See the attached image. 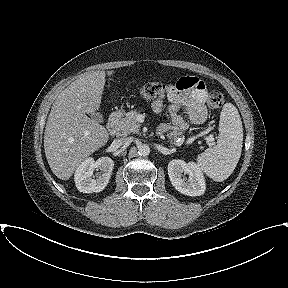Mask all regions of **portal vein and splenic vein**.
Returning a JSON list of instances; mask_svg holds the SVG:
<instances>
[{"instance_id": "1", "label": "portal vein and splenic vein", "mask_w": 288, "mask_h": 288, "mask_svg": "<svg viewBox=\"0 0 288 288\" xmlns=\"http://www.w3.org/2000/svg\"><path fill=\"white\" fill-rule=\"evenodd\" d=\"M195 140V137H191L188 139L187 144H191ZM207 141L212 142L214 144V138L212 136H209L206 138Z\"/></svg>"}]
</instances>
